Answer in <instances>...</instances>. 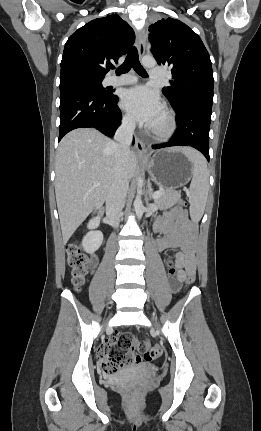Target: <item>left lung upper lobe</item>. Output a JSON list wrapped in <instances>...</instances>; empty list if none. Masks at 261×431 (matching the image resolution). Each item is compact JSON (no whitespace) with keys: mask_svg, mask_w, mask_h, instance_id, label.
Returning a JSON list of instances; mask_svg holds the SVG:
<instances>
[{"mask_svg":"<svg viewBox=\"0 0 261 431\" xmlns=\"http://www.w3.org/2000/svg\"><path fill=\"white\" fill-rule=\"evenodd\" d=\"M151 51L157 63L172 71L170 86L162 89L174 109L193 100L213 101V71L201 38L186 24L173 18L149 27Z\"/></svg>","mask_w":261,"mask_h":431,"instance_id":"obj_1","label":"left lung upper lobe"}]
</instances>
